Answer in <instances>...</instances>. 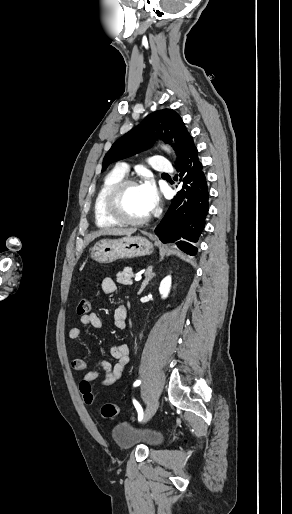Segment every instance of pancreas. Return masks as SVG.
Here are the masks:
<instances>
[{"instance_id": "pancreas-1", "label": "pancreas", "mask_w": 292, "mask_h": 514, "mask_svg": "<svg viewBox=\"0 0 292 514\" xmlns=\"http://www.w3.org/2000/svg\"><path fill=\"white\" fill-rule=\"evenodd\" d=\"M133 272L131 268H125L124 272H118L117 280L118 284H124V286H131Z\"/></svg>"}]
</instances>
